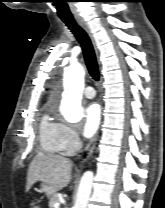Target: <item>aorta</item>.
Here are the masks:
<instances>
[{
	"label": "aorta",
	"instance_id": "1",
	"mask_svg": "<svg viewBox=\"0 0 165 208\" xmlns=\"http://www.w3.org/2000/svg\"><path fill=\"white\" fill-rule=\"evenodd\" d=\"M65 91L61 102V113L71 123L82 118L81 99L84 89V69L79 64H72L65 71ZM93 172L86 171L80 181L73 208H87L91 194Z\"/></svg>",
	"mask_w": 165,
	"mask_h": 208
}]
</instances>
